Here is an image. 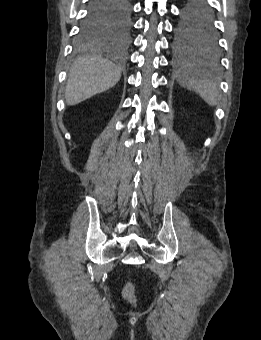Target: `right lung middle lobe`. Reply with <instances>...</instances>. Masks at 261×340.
<instances>
[{
    "label": "right lung middle lobe",
    "mask_w": 261,
    "mask_h": 340,
    "mask_svg": "<svg viewBox=\"0 0 261 340\" xmlns=\"http://www.w3.org/2000/svg\"><path fill=\"white\" fill-rule=\"evenodd\" d=\"M131 28V7L115 16L87 15L77 38L79 46L104 41L108 39L126 40Z\"/></svg>",
    "instance_id": "right-lung-middle-lobe-1"
}]
</instances>
